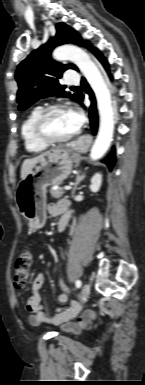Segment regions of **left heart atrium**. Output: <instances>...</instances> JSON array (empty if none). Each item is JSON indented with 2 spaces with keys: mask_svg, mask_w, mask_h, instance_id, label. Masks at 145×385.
I'll list each match as a JSON object with an SVG mask.
<instances>
[{
  "mask_svg": "<svg viewBox=\"0 0 145 385\" xmlns=\"http://www.w3.org/2000/svg\"><path fill=\"white\" fill-rule=\"evenodd\" d=\"M68 113L75 127L79 129L84 121L83 113L77 108L70 109Z\"/></svg>",
  "mask_w": 145,
  "mask_h": 385,
  "instance_id": "obj_1",
  "label": "left heart atrium"
}]
</instances>
